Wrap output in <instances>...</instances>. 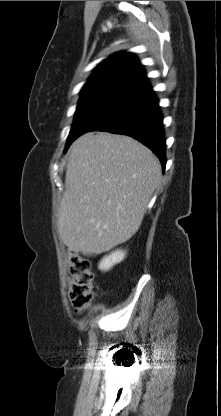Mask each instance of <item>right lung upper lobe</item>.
Listing matches in <instances>:
<instances>
[{
    "instance_id": "obj_1",
    "label": "right lung upper lobe",
    "mask_w": 221,
    "mask_h": 416,
    "mask_svg": "<svg viewBox=\"0 0 221 416\" xmlns=\"http://www.w3.org/2000/svg\"><path fill=\"white\" fill-rule=\"evenodd\" d=\"M142 65L132 53L119 52L101 62L81 90L82 97L114 94L128 97L150 89Z\"/></svg>"
}]
</instances>
